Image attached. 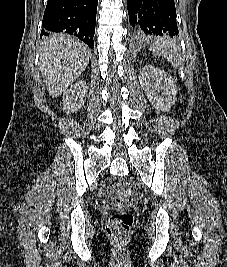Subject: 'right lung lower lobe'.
Masks as SVG:
<instances>
[{
  "label": "right lung lower lobe",
  "instance_id": "1",
  "mask_svg": "<svg viewBox=\"0 0 227 267\" xmlns=\"http://www.w3.org/2000/svg\"><path fill=\"white\" fill-rule=\"evenodd\" d=\"M97 4L98 0H48L41 37L48 31H64L93 48Z\"/></svg>",
  "mask_w": 227,
  "mask_h": 267
}]
</instances>
